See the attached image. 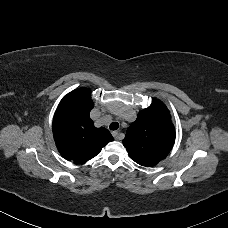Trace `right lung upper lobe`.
<instances>
[{
    "instance_id": "obj_1",
    "label": "right lung upper lobe",
    "mask_w": 228,
    "mask_h": 228,
    "mask_svg": "<svg viewBox=\"0 0 228 228\" xmlns=\"http://www.w3.org/2000/svg\"><path fill=\"white\" fill-rule=\"evenodd\" d=\"M93 106L90 91L78 88L63 97L55 112L54 140L59 152L67 160L83 163L114 140L106 128L94 126L89 116Z\"/></svg>"
}]
</instances>
